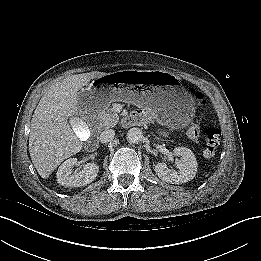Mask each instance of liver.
<instances>
[{
  "label": "liver",
  "mask_w": 261,
  "mask_h": 261,
  "mask_svg": "<svg viewBox=\"0 0 261 261\" xmlns=\"http://www.w3.org/2000/svg\"><path fill=\"white\" fill-rule=\"evenodd\" d=\"M104 72L68 76L50 85L41 97L31 120L29 153L37 172L48 178L65 159L78 153L83 142L68 123L78 115L79 92Z\"/></svg>",
  "instance_id": "liver-1"
}]
</instances>
